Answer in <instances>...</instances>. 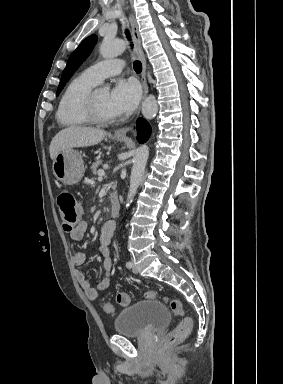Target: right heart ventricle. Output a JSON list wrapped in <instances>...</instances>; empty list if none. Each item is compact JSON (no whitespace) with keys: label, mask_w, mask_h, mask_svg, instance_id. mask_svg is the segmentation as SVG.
Segmentation results:
<instances>
[{"label":"right heart ventricle","mask_w":283,"mask_h":384,"mask_svg":"<svg viewBox=\"0 0 283 384\" xmlns=\"http://www.w3.org/2000/svg\"><path fill=\"white\" fill-rule=\"evenodd\" d=\"M86 73L74 77L63 90L57 105L56 119L65 129L78 130L89 126L79 113L85 95L96 85Z\"/></svg>","instance_id":"1"}]
</instances>
